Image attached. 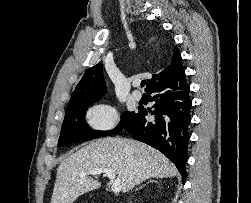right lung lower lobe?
Segmentation results:
<instances>
[{
    "label": "right lung lower lobe",
    "mask_w": 251,
    "mask_h": 203,
    "mask_svg": "<svg viewBox=\"0 0 251 203\" xmlns=\"http://www.w3.org/2000/svg\"><path fill=\"white\" fill-rule=\"evenodd\" d=\"M146 92L153 95L150 101L155 102L154 110L139 109L123 129L161 151L175 164L185 182L192 102L182 65ZM151 115L155 118L152 121Z\"/></svg>",
    "instance_id": "98d812e1"
}]
</instances>
